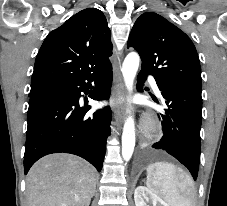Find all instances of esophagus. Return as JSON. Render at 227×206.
Segmentation results:
<instances>
[{
	"instance_id": "obj_1",
	"label": "esophagus",
	"mask_w": 227,
	"mask_h": 206,
	"mask_svg": "<svg viewBox=\"0 0 227 206\" xmlns=\"http://www.w3.org/2000/svg\"><path fill=\"white\" fill-rule=\"evenodd\" d=\"M119 67H120V61L118 63V68ZM123 89H124V85L121 79V75L120 73H118L113 97H114V112H115L117 121L120 123L123 122L124 116H125L124 105L119 102L122 99Z\"/></svg>"
}]
</instances>
